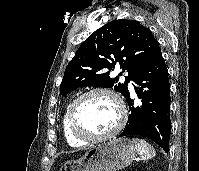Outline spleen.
<instances>
[{"instance_id":"3e777b00","label":"spleen","mask_w":199,"mask_h":171,"mask_svg":"<svg viewBox=\"0 0 199 171\" xmlns=\"http://www.w3.org/2000/svg\"><path fill=\"white\" fill-rule=\"evenodd\" d=\"M132 142L135 144L136 150L142 160L148 161L156 155L154 148L144 139L133 138Z\"/></svg>"}]
</instances>
